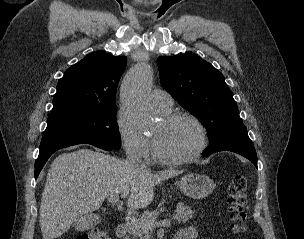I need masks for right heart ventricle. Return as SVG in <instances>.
Here are the masks:
<instances>
[{"label":"right heart ventricle","mask_w":304,"mask_h":239,"mask_svg":"<svg viewBox=\"0 0 304 239\" xmlns=\"http://www.w3.org/2000/svg\"><path fill=\"white\" fill-rule=\"evenodd\" d=\"M160 112L163 113V114H166V113H169L170 110L169 111H160Z\"/></svg>","instance_id":"right-heart-ventricle-1"}]
</instances>
